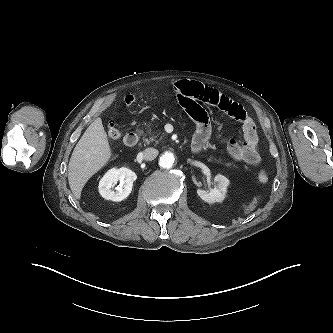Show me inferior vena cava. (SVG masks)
Listing matches in <instances>:
<instances>
[{"mask_svg": "<svg viewBox=\"0 0 333 333\" xmlns=\"http://www.w3.org/2000/svg\"><path fill=\"white\" fill-rule=\"evenodd\" d=\"M159 154V151L155 148H147L143 151V157L147 161L154 160Z\"/></svg>", "mask_w": 333, "mask_h": 333, "instance_id": "1", "label": "inferior vena cava"}]
</instances>
